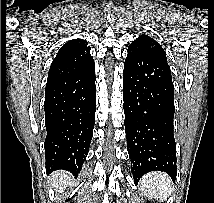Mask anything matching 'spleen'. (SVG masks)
Returning a JSON list of instances; mask_svg holds the SVG:
<instances>
[{"instance_id": "spleen-1", "label": "spleen", "mask_w": 214, "mask_h": 203, "mask_svg": "<svg viewBox=\"0 0 214 203\" xmlns=\"http://www.w3.org/2000/svg\"><path fill=\"white\" fill-rule=\"evenodd\" d=\"M171 179L161 172L146 174L140 181V189L147 197L164 201L171 193Z\"/></svg>"}]
</instances>
